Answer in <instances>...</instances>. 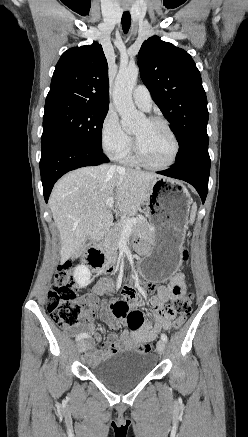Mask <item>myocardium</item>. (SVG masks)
Masks as SVG:
<instances>
[{"instance_id": "1", "label": "myocardium", "mask_w": 248, "mask_h": 437, "mask_svg": "<svg viewBox=\"0 0 248 437\" xmlns=\"http://www.w3.org/2000/svg\"><path fill=\"white\" fill-rule=\"evenodd\" d=\"M146 120L149 123L161 124L167 130V132L171 136L173 143H174L173 154H172L170 160L168 162H166L165 164H161V165L152 164L145 159V157L143 156V154L139 148V145H138L136 138L133 136L132 149H133L134 157L142 166H144L148 169H152V170L167 169V168L171 167L177 160V157H178L179 151H180L179 140H178L176 134L174 133L173 129L171 128V126L169 125V123L165 119H163L161 117L152 116V117H147Z\"/></svg>"}]
</instances>
